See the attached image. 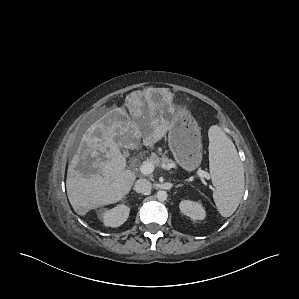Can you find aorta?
<instances>
[{"label": "aorta", "instance_id": "aorta-1", "mask_svg": "<svg viewBox=\"0 0 299 299\" xmlns=\"http://www.w3.org/2000/svg\"><path fill=\"white\" fill-rule=\"evenodd\" d=\"M167 197H168V194L164 190H159L156 194V198H157L158 201L163 202V201L167 200Z\"/></svg>", "mask_w": 299, "mask_h": 299}]
</instances>
